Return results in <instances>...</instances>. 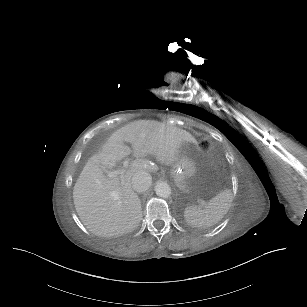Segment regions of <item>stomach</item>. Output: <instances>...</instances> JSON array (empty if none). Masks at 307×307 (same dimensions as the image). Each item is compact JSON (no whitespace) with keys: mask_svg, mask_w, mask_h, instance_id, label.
Listing matches in <instances>:
<instances>
[{"mask_svg":"<svg viewBox=\"0 0 307 307\" xmlns=\"http://www.w3.org/2000/svg\"><path fill=\"white\" fill-rule=\"evenodd\" d=\"M201 157V149L197 144L186 143L180 157L172 167V177L177 187L182 191L192 188L198 161Z\"/></svg>","mask_w":307,"mask_h":307,"instance_id":"obj_1","label":"stomach"}]
</instances>
